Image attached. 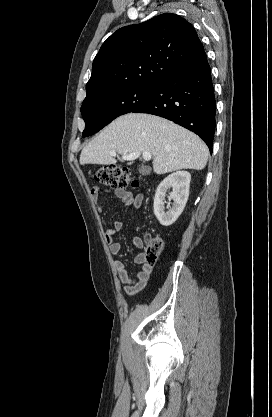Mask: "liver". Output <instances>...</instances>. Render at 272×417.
Wrapping results in <instances>:
<instances>
[{"instance_id": "liver-1", "label": "liver", "mask_w": 272, "mask_h": 417, "mask_svg": "<svg viewBox=\"0 0 272 417\" xmlns=\"http://www.w3.org/2000/svg\"><path fill=\"white\" fill-rule=\"evenodd\" d=\"M112 150L123 155L150 152L156 174L202 170L209 157L207 146L194 133L167 119L142 113L126 114L111 122L83 148L80 164H116Z\"/></svg>"}]
</instances>
